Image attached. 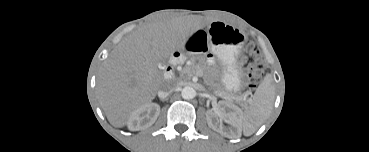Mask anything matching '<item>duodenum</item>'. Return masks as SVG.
Listing matches in <instances>:
<instances>
[{"instance_id": "duodenum-1", "label": "duodenum", "mask_w": 369, "mask_h": 152, "mask_svg": "<svg viewBox=\"0 0 369 152\" xmlns=\"http://www.w3.org/2000/svg\"><path fill=\"white\" fill-rule=\"evenodd\" d=\"M173 77V69L171 66H168L164 72V78L166 80H170Z\"/></svg>"}]
</instances>
